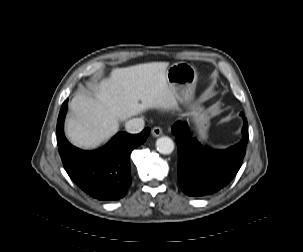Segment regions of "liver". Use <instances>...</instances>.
<instances>
[{"label": "liver", "instance_id": "obj_1", "mask_svg": "<svg viewBox=\"0 0 303 252\" xmlns=\"http://www.w3.org/2000/svg\"><path fill=\"white\" fill-rule=\"evenodd\" d=\"M168 66L152 62L116 68L95 85V98L76 95L66 121L68 139L78 147L93 149L118 131L119 121L153 108H173L176 96L167 82Z\"/></svg>", "mask_w": 303, "mask_h": 252}]
</instances>
